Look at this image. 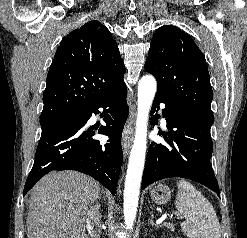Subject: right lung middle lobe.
Listing matches in <instances>:
<instances>
[{"mask_svg": "<svg viewBox=\"0 0 247 238\" xmlns=\"http://www.w3.org/2000/svg\"><path fill=\"white\" fill-rule=\"evenodd\" d=\"M69 116V115H68ZM68 116H63V117H57L53 119H48V120H43L40 121V125L42 128V131H45L59 123H61L63 120H65Z\"/></svg>", "mask_w": 247, "mask_h": 238, "instance_id": "obj_1", "label": "right lung middle lobe"}]
</instances>
